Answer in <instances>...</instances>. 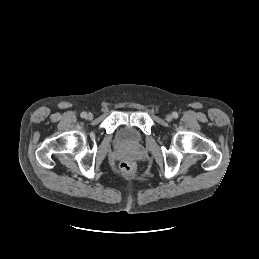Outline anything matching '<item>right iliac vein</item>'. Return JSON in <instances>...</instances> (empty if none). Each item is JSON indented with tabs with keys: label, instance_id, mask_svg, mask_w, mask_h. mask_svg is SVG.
Segmentation results:
<instances>
[{
	"label": "right iliac vein",
	"instance_id": "right-iliac-vein-1",
	"mask_svg": "<svg viewBox=\"0 0 259 259\" xmlns=\"http://www.w3.org/2000/svg\"><path fill=\"white\" fill-rule=\"evenodd\" d=\"M86 118H87L88 120H92V119H93V114H92V113H88L87 116H86Z\"/></svg>",
	"mask_w": 259,
	"mask_h": 259
}]
</instances>
